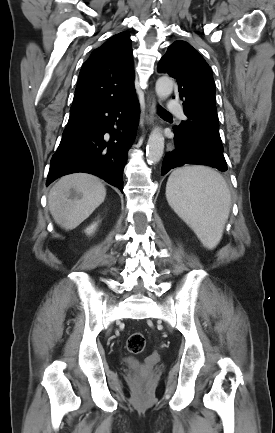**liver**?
Returning <instances> with one entry per match:
<instances>
[{
    "instance_id": "liver-1",
    "label": "liver",
    "mask_w": 275,
    "mask_h": 433,
    "mask_svg": "<svg viewBox=\"0 0 275 433\" xmlns=\"http://www.w3.org/2000/svg\"><path fill=\"white\" fill-rule=\"evenodd\" d=\"M106 189L99 178L74 173L61 177L51 188L48 206L55 222L72 230L87 219L102 204Z\"/></svg>"
}]
</instances>
